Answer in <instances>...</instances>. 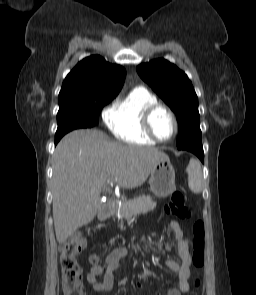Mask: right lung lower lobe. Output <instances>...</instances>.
I'll return each instance as SVG.
<instances>
[{
    "instance_id": "1",
    "label": "right lung lower lobe",
    "mask_w": 256,
    "mask_h": 295,
    "mask_svg": "<svg viewBox=\"0 0 256 295\" xmlns=\"http://www.w3.org/2000/svg\"><path fill=\"white\" fill-rule=\"evenodd\" d=\"M95 126L94 122L91 119H88L87 122V128L88 127H93ZM63 136H55V145L59 142V140L62 138Z\"/></svg>"
}]
</instances>
